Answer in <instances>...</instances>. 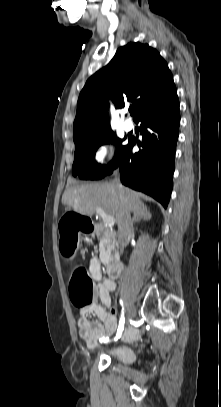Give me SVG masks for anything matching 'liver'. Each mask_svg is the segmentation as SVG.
<instances>
[{
    "instance_id": "obj_1",
    "label": "liver",
    "mask_w": 221,
    "mask_h": 407,
    "mask_svg": "<svg viewBox=\"0 0 221 407\" xmlns=\"http://www.w3.org/2000/svg\"><path fill=\"white\" fill-rule=\"evenodd\" d=\"M124 203L119 198V191L113 182L83 184L68 188L62 196V203L81 215L91 217L97 208L113 216L119 223L123 206L141 219H150L151 214L142 203L139 194L123 187Z\"/></svg>"
}]
</instances>
